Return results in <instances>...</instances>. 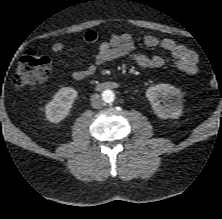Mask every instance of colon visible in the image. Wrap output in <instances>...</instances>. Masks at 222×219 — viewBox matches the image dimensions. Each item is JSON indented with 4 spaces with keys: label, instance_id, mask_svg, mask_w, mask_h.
Here are the masks:
<instances>
[{
    "label": "colon",
    "instance_id": "5ec220e1",
    "mask_svg": "<svg viewBox=\"0 0 222 219\" xmlns=\"http://www.w3.org/2000/svg\"><path fill=\"white\" fill-rule=\"evenodd\" d=\"M51 72V60L35 50H27L20 57L15 72L12 76V85L16 89L45 82ZM212 86L216 84L214 76L210 78Z\"/></svg>",
    "mask_w": 222,
    "mask_h": 219
}]
</instances>
